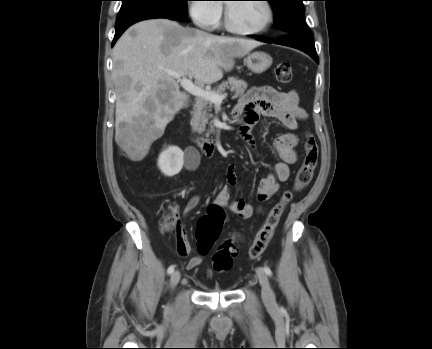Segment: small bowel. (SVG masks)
I'll use <instances>...</instances> for the list:
<instances>
[{
  "instance_id": "c3829d8e",
  "label": "small bowel",
  "mask_w": 432,
  "mask_h": 349,
  "mask_svg": "<svg viewBox=\"0 0 432 349\" xmlns=\"http://www.w3.org/2000/svg\"><path fill=\"white\" fill-rule=\"evenodd\" d=\"M235 116H242L243 122L239 128L240 138L252 150L254 140L251 135V128L261 116L278 120L285 128L294 131L298 128L299 122L307 119L306 111L299 104L298 94L294 90L282 92L271 86L250 88L244 93L235 109ZM299 138L292 132L284 133L275 138L273 148L279 160L273 164L272 172L259 182L256 198L259 202L269 200L279 189V184L285 182L290 176V165L298 161L296 147ZM199 165V157L188 152L185 159L187 170H195ZM237 182L235 169L230 165L226 170V184L221 188L215 198V205L227 208L241 219H249L254 213L252 205L244 199L230 200L231 187ZM200 203V197L193 195L186 203L185 211H193ZM173 212L178 218L179 210L174 207ZM179 223V222H178ZM178 252L183 255L191 254V246L185 236L182 227L177 228ZM202 257L192 255L187 262V269L192 270L200 265ZM211 274V272H209Z\"/></svg>"
}]
</instances>
